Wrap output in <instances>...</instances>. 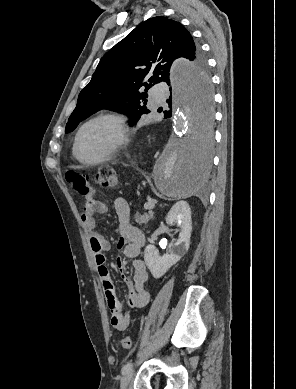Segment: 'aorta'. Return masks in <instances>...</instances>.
<instances>
[{
  "label": "aorta",
  "mask_w": 296,
  "mask_h": 389,
  "mask_svg": "<svg viewBox=\"0 0 296 389\" xmlns=\"http://www.w3.org/2000/svg\"><path fill=\"white\" fill-rule=\"evenodd\" d=\"M174 129L154 169L157 189L169 197H186L207 182L214 151L211 73L191 67L186 59L171 69Z\"/></svg>",
  "instance_id": "obj_1"
}]
</instances>
